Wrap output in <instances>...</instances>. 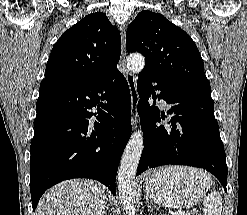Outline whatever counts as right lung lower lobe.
Masks as SVG:
<instances>
[{"label": "right lung lower lobe", "mask_w": 247, "mask_h": 215, "mask_svg": "<svg viewBox=\"0 0 247 215\" xmlns=\"http://www.w3.org/2000/svg\"><path fill=\"white\" fill-rule=\"evenodd\" d=\"M36 109L30 149L33 210L48 188L71 178L98 180L116 195L118 164L131 136V95L121 72L115 69L85 86L43 80Z\"/></svg>", "instance_id": "1"}]
</instances>
